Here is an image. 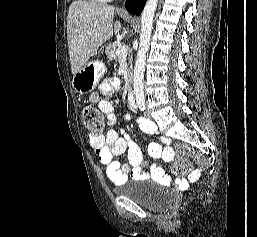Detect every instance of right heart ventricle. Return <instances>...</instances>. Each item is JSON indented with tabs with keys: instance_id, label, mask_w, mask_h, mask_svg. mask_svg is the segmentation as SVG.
Returning a JSON list of instances; mask_svg holds the SVG:
<instances>
[{
	"instance_id": "obj_1",
	"label": "right heart ventricle",
	"mask_w": 257,
	"mask_h": 237,
	"mask_svg": "<svg viewBox=\"0 0 257 237\" xmlns=\"http://www.w3.org/2000/svg\"><path fill=\"white\" fill-rule=\"evenodd\" d=\"M90 1L94 2V3H102V2L109 1V0H90Z\"/></svg>"
}]
</instances>
